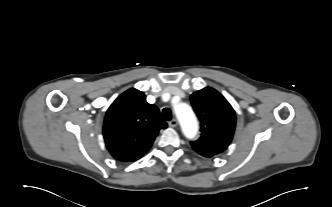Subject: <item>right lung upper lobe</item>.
Masks as SVG:
<instances>
[{"mask_svg":"<svg viewBox=\"0 0 332 207\" xmlns=\"http://www.w3.org/2000/svg\"><path fill=\"white\" fill-rule=\"evenodd\" d=\"M159 109L147 103L143 92L131 88L107 110L103 136L111 155L122 162L136 161L150 149L160 129H165Z\"/></svg>","mask_w":332,"mask_h":207,"instance_id":"1","label":"right lung upper lobe"}]
</instances>
